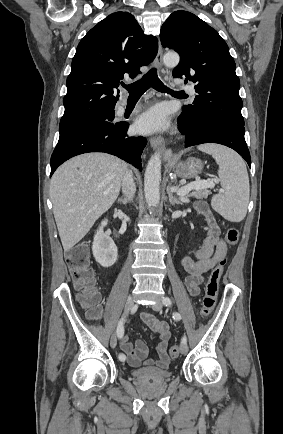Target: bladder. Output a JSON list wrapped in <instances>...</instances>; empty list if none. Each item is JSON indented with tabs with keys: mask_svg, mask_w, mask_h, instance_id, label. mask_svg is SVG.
<instances>
[{
	"mask_svg": "<svg viewBox=\"0 0 283 434\" xmlns=\"http://www.w3.org/2000/svg\"><path fill=\"white\" fill-rule=\"evenodd\" d=\"M131 374L133 377L140 380H168L172 376L170 370L155 367L137 368L132 370Z\"/></svg>",
	"mask_w": 283,
	"mask_h": 434,
	"instance_id": "bladder-1",
	"label": "bladder"
}]
</instances>
